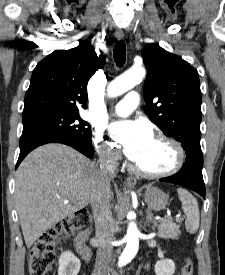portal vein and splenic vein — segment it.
<instances>
[{
	"instance_id": "portal-vein-and-splenic-vein-1",
	"label": "portal vein and splenic vein",
	"mask_w": 225,
	"mask_h": 275,
	"mask_svg": "<svg viewBox=\"0 0 225 275\" xmlns=\"http://www.w3.org/2000/svg\"><path fill=\"white\" fill-rule=\"evenodd\" d=\"M158 221H166V218H158Z\"/></svg>"
}]
</instances>
